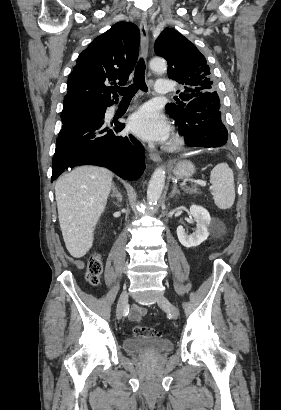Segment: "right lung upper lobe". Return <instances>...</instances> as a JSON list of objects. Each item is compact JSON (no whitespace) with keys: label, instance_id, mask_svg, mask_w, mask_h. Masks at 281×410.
Wrapping results in <instances>:
<instances>
[{"label":"right lung upper lobe","instance_id":"right-lung-upper-lobe-1","mask_svg":"<svg viewBox=\"0 0 281 410\" xmlns=\"http://www.w3.org/2000/svg\"><path fill=\"white\" fill-rule=\"evenodd\" d=\"M140 31L129 22H118L98 36L77 59L68 76L63 108L76 105L107 106L117 94L108 84H126L138 56Z\"/></svg>","mask_w":281,"mask_h":410}]
</instances>
